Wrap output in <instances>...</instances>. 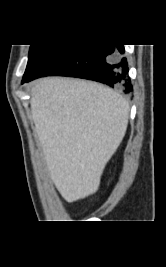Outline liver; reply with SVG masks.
<instances>
[{
	"instance_id": "obj_1",
	"label": "liver",
	"mask_w": 166,
	"mask_h": 267,
	"mask_svg": "<svg viewBox=\"0 0 166 267\" xmlns=\"http://www.w3.org/2000/svg\"><path fill=\"white\" fill-rule=\"evenodd\" d=\"M31 113L51 179L68 202L97 192L123 140L127 101L99 83L49 77L31 93Z\"/></svg>"
}]
</instances>
